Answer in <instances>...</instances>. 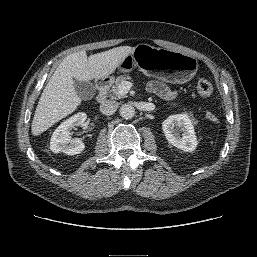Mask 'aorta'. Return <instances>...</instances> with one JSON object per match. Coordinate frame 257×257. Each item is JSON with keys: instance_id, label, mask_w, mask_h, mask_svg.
Listing matches in <instances>:
<instances>
[{"instance_id": "obj_1", "label": "aorta", "mask_w": 257, "mask_h": 257, "mask_svg": "<svg viewBox=\"0 0 257 257\" xmlns=\"http://www.w3.org/2000/svg\"><path fill=\"white\" fill-rule=\"evenodd\" d=\"M120 116L123 118V119H131L134 117L135 115V109L132 105L130 104H123L121 107H120Z\"/></svg>"}]
</instances>
